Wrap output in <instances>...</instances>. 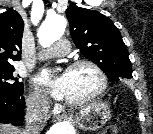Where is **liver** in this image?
Instances as JSON below:
<instances>
[{"label": "liver", "mask_w": 153, "mask_h": 134, "mask_svg": "<svg viewBox=\"0 0 153 134\" xmlns=\"http://www.w3.org/2000/svg\"><path fill=\"white\" fill-rule=\"evenodd\" d=\"M0 134H23V131L15 126L0 124Z\"/></svg>", "instance_id": "liver-1"}]
</instances>
